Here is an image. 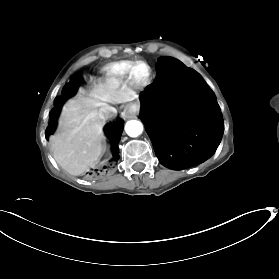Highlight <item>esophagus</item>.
Instances as JSON below:
<instances>
[{
  "label": "esophagus",
  "instance_id": "34e87169",
  "mask_svg": "<svg viewBox=\"0 0 279 279\" xmlns=\"http://www.w3.org/2000/svg\"><path fill=\"white\" fill-rule=\"evenodd\" d=\"M139 108H140L139 104L130 103V104L126 105V107L124 108V111L126 112L127 115L133 116V115L138 114Z\"/></svg>",
  "mask_w": 279,
  "mask_h": 279
}]
</instances>
